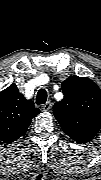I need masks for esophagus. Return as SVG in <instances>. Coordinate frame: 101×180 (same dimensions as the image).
Masks as SVG:
<instances>
[{
	"label": "esophagus",
	"instance_id": "34e87169",
	"mask_svg": "<svg viewBox=\"0 0 101 180\" xmlns=\"http://www.w3.org/2000/svg\"><path fill=\"white\" fill-rule=\"evenodd\" d=\"M52 107V104L50 102H46L45 104L41 105L42 111H49Z\"/></svg>",
	"mask_w": 101,
	"mask_h": 180
}]
</instances>
